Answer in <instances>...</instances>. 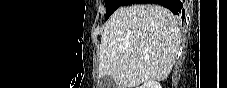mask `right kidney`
<instances>
[{"label": "right kidney", "instance_id": "right-kidney-1", "mask_svg": "<svg viewBox=\"0 0 227 88\" xmlns=\"http://www.w3.org/2000/svg\"><path fill=\"white\" fill-rule=\"evenodd\" d=\"M140 88H162V87L159 82L150 80L145 82L142 86H140Z\"/></svg>", "mask_w": 227, "mask_h": 88}]
</instances>
